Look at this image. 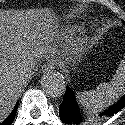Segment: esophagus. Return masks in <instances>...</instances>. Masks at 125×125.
<instances>
[{
  "label": "esophagus",
  "mask_w": 125,
  "mask_h": 125,
  "mask_svg": "<svg viewBox=\"0 0 125 125\" xmlns=\"http://www.w3.org/2000/svg\"><path fill=\"white\" fill-rule=\"evenodd\" d=\"M44 70H45V71H53V67L48 64V65H45V66H44Z\"/></svg>",
  "instance_id": "esophagus-1"
}]
</instances>
